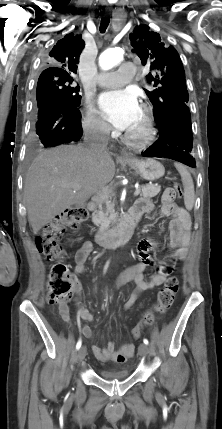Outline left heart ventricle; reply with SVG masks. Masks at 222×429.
I'll return each instance as SVG.
<instances>
[{"label":"left heart ventricle","instance_id":"left-heart-ventricle-1","mask_svg":"<svg viewBox=\"0 0 222 429\" xmlns=\"http://www.w3.org/2000/svg\"><path fill=\"white\" fill-rule=\"evenodd\" d=\"M142 112L140 111L139 118L135 122V124L128 131H137L142 126Z\"/></svg>","mask_w":222,"mask_h":429}]
</instances>
